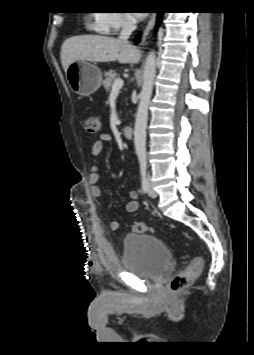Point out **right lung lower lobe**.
Instances as JSON below:
<instances>
[{"label":"right lung lower lobe","mask_w":254,"mask_h":355,"mask_svg":"<svg viewBox=\"0 0 254 355\" xmlns=\"http://www.w3.org/2000/svg\"><path fill=\"white\" fill-rule=\"evenodd\" d=\"M162 15H163V12H158V17H157V26H156V28H158V26H159V24H160V21H161ZM138 41H139V39H138V38H136V39H135V42H138Z\"/></svg>","instance_id":"obj_1"}]
</instances>
